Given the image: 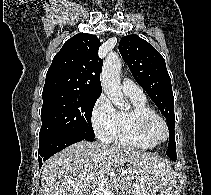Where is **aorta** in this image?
<instances>
[{"mask_svg": "<svg viewBox=\"0 0 211 195\" xmlns=\"http://www.w3.org/2000/svg\"><path fill=\"white\" fill-rule=\"evenodd\" d=\"M121 59L115 52L107 55L102 72L101 85L104 93L110 101L119 109H128L129 105L124 101L120 83Z\"/></svg>", "mask_w": 211, "mask_h": 195, "instance_id": "aorta-1", "label": "aorta"}]
</instances>
